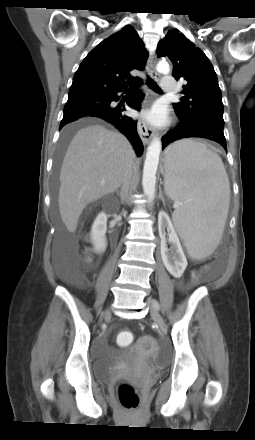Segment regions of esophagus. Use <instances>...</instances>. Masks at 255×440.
<instances>
[{
  "instance_id": "obj_1",
  "label": "esophagus",
  "mask_w": 255,
  "mask_h": 440,
  "mask_svg": "<svg viewBox=\"0 0 255 440\" xmlns=\"http://www.w3.org/2000/svg\"><path fill=\"white\" fill-rule=\"evenodd\" d=\"M147 69H148L149 75L152 78H154V79L159 78V74L156 72L155 67H154V56H151L149 58V60L147 62ZM137 128H138L139 136L144 144H147L150 141V139L155 135V129L152 128L150 125H148L143 120L138 121Z\"/></svg>"
}]
</instances>
